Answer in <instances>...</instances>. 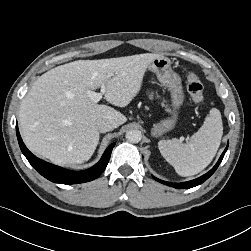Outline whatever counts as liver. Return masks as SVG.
Segmentation results:
<instances>
[{"label":"liver","instance_id":"6515ba94","mask_svg":"<svg viewBox=\"0 0 251 251\" xmlns=\"http://www.w3.org/2000/svg\"><path fill=\"white\" fill-rule=\"evenodd\" d=\"M144 53L132 56L78 60L57 66L32 85L22 100L19 124L26 146L57 165L81 164L93 155L98 142L97 121L116 127L127 118L88 96L105 86V99L127 106L141 89L146 69L159 57Z\"/></svg>","mask_w":251,"mask_h":251}]
</instances>
